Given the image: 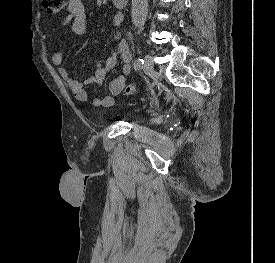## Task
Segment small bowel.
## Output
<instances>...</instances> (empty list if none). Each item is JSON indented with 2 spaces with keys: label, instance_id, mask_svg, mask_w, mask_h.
<instances>
[{
  "label": "small bowel",
  "instance_id": "obj_1",
  "mask_svg": "<svg viewBox=\"0 0 275 263\" xmlns=\"http://www.w3.org/2000/svg\"><path fill=\"white\" fill-rule=\"evenodd\" d=\"M67 11L68 15L62 21L61 26L65 27L69 25L73 34L77 36L84 35L86 32L87 16L86 7L82 0H69ZM113 24L116 28L114 35L116 47L103 64L100 62L95 63L94 74L86 78L84 82L73 78L69 71L62 66L63 56L61 52L57 51L52 55V63L58 66L59 76L67 83L75 99L81 102L88 100V94L84 85L102 84L108 73L115 68L118 58L121 60L122 72L109 83L110 93L103 97L92 98L90 101L92 106L99 108H109L113 105L114 97L122 92L126 78L131 71L132 53L129 49L128 42L122 38L123 16L121 14H115Z\"/></svg>",
  "mask_w": 275,
  "mask_h": 263
}]
</instances>
